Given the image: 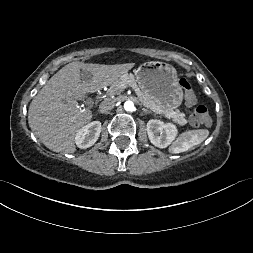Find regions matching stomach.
I'll list each match as a JSON object with an SVG mask.
<instances>
[{
	"label": "stomach",
	"mask_w": 253,
	"mask_h": 253,
	"mask_svg": "<svg viewBox=\"0 0 253 253\" xmlns=\"http://www.w3.org/2000/svg\"><path fill=\"white\" fill-rule=\"evenodd\" d=\"M138 86L168 110H176L183 101L184 93L176 69L165 62L150 61L135 71Z\"/></svg>",
	"instance_id": "stomach-1"
}]
</instances>
